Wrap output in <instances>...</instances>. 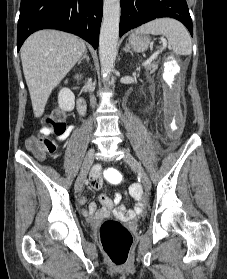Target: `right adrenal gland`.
Here are the masks:
<instances>
[{
  "label": "right adrenal gland",
  "mask_w": 227,
  "mask_h": 279,
  "mask_svg": "<svg viewBox=\"0 0 227 279\" xmlns=\"http://www.w3.org/2000/svg\"><path fill=\"white\" fill-rule=\"evenodd\" d=\"M84 59H86V61L89 63V57L87 55V49L85 50L84 54H83V57H81L78 61V64H80Z\"/></svg>",
  "instance_id": "obj_1"
}]
</instances>
